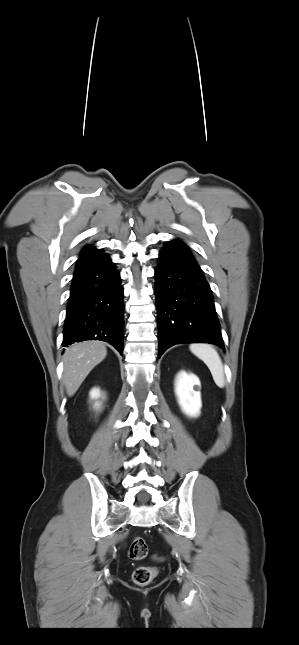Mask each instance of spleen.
Instances as JSON below:
<instances>
[{
  "instance_id": "1",
  "label": "spleen",
  "mask_w": 299,
  "mask_h": 645,
  "mask_svg": "<svg viewBox=\"0 0 299 645\" xmlns=\"http://www.w3.org/2000/svg\"><path fill=\"white\" fill-rule=\"evenodd\" d=\"M190 350L207 365L215 384L219 388H223L225 384L224 368L218 352L209 344H191Z\"/></svg>"
}]
</instances>
